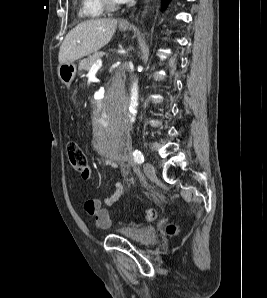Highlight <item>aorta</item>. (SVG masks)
Masks as SVG:
<instances>
[{
    "label": "aorta",
    "instance_id": "1",
    "mask_svg": "<svg viewBox=\"0 0 267 298\" xmlns=\"http://www.w3.org/2000/svg\"><path fill=\"white\" fill-rule=\"evenodd\" d=\"M138 106V82L135 80L131 87L130 93V104H129V112H130V121H135V115L137 113Z\"/></svg>",
    "mask_w": 267,
    "mask_h": 298
}]
</instances>
